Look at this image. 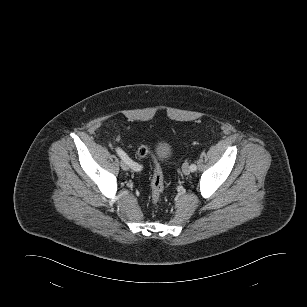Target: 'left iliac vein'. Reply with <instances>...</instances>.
I'll list each match as a JSON object with an SVG mask.
<instances>
[{"mask_svg": "<svg viewBox=\"0 0 307 307\" xmlns=\"http://www.w3.org/2000/svg\"><path fill=\"white\" fill-rule=\"evenodd\" d=\"M182 172L184 175H189L191 172L190 166L188 163H184L182 166Z\"/></svg>", "mask_w": 307, "mask_h": 307, "instance_id": "4c4485c4", "label": "left iliac vein"}]
</instances>
